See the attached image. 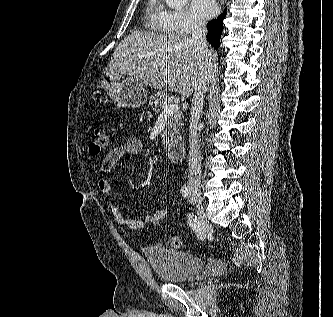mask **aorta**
<instances>
[{
	"label": "aorta",
	"instance_id": "aorta-1",
	"mask_svg": "<svg viewBox=\"0 0 333 317\" xmlns=\"http://www.w3.org/2000/svg\"><path fill=\"white\" fill-rule=\"evenodd\" d=\"M188 0H165V3L173 9H179L183 7Z\"/></svg>",
	"mask_w": 333,
	"mask_h": 317
}]
</instances>
